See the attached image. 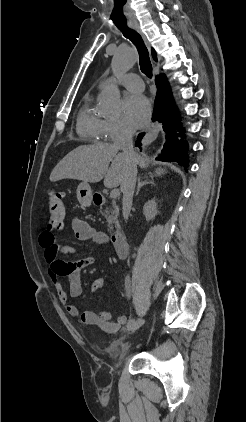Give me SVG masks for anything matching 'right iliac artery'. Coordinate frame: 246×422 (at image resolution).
Here are the masks:
<instances>
[{
    "label": "right iliac artery",
    "instance_id": "right-iliac-artery-1",
    "mask_svg": "<svg viewBox=\"0 0 246 422\" xmlns=\"http://www.w3.org/2000/svg\"><path fill=\"white\" fill-rule=\"evenodd\" d=\"M135 322L136 321L134 319L129 320V322L127 324L128 329H131L133 327V325L135 324Z\"/></svg>",
    "mask_w": 246,
    "mask_h": 422
}]
</instances>
